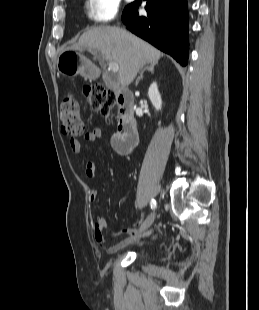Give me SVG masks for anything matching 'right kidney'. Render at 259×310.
Segmentation results:
<instances>
[{
	"label": "right kidney",
	"mask_w": 259,
	"mask_h": 310,
	"mask_svg": "<svg viewBox=\"0 0 259 310\" xmlns=\"http://www.w3.org/2000/svg\"><path fill=\"white\" fill-rule=\"evenodd\" d=\"M148 97L156 110H161L162 100L158 91L157 83L153 82L148 90Z\"/></svg>",
	"instance_id": "1"
}]
</instances>
